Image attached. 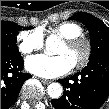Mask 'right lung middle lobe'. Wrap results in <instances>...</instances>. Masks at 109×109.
<instances>
[{"mask_svg":"<svg viewBox=\"0 0 109 109\" xmlns=\"http://www.w3.org/2000/svg\"><path fill=\"white\" fill-rule=\"evenodd\" d=\"M33 27H22L10 21H1V53L9 55H20L17 47V33L24 29Z\"/></svg>","mask_w":109,"mask_h":109,"instance_id":"obj_1","label":"right lung middle lobe"}]
</instances>
